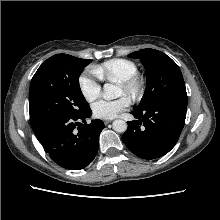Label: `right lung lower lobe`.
<instances>
[{
	"label": "right lung lower lobe",
	"mask_w": 220,
	"mask_h": 220,
	"mask_svg": "<svg viewBox=\"0 0 220 220\" xmlns=\"http://www.w3.org/2000/svg\"><path fill=\"white\" fill-rule=\"evenodd\" d=\"M91 115L89 108L78 115L57 117L33 131L55 163L69 170L83 169L95 158L104 128L101 120L87 124L85 119Z\"/></svg>",
	"instance_id": "obj_1"
}]
</instances>
